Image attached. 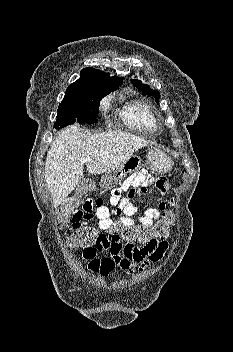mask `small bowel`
<instances>
[{
    "mask_svg": "<svg viewBox=\"0 0 233 352\" xmlns=\"http://www.w3.org/2000/svg\"><path fill=\"white\" fill-rule=\"evenodd\" d=\"M93 189V184L86 181L83 184V194ZM168 190L167 181L139 170L130 175L119 188L111 192L110 204L114 210L103 204L102 199L94 200L87 197L82 208L72 218V227L77 230L84 224L97 219L99 228L106 233L107 239L99 245L83 250V258L88 261V269L106 277L114 270L131 272L135 268L142 269L150 262L161 259L167 249V242L161 241L145 246L123 245L118 230L128 227H151L165 209L164 197ZM127 193L123 196V193ZM146 195L154 199V206L147 208L136 224L132 216L136 207L131 199ZM94 206L96 210L94 213ZM107 250L109 256L99 257L98 252Z\"/></svg>",
    "mask_w": 233,
    "mask_h": 352,
    "instance_id": "obj_1",
    "label": "small bowel"
}]
</instances>
